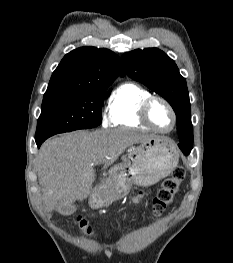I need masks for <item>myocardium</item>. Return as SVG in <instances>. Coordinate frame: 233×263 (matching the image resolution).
<instances>
[{
  "mask_svg": "<svg viewBox=\"0 0 233 263\" xmlns=\"http://www.w3.org/2000/svg\"><path fill=\"white\" fill-rule=\"evenodd\" d=\"M156 101H160L162 102L170 111L171 116H172V125L168 130H161L159 128H157L153 122L150 119V115H149V111L150 108L152 106V104ZM139 117L140 120L150 129H152L155 132L161 133V134H168L170 133L176 126L177 124V115L176 112L173 108V106L170 104V102L168 100H166L165 98L161 97V96H154L151 95L150 97H148L147 99H145L141 106H140V110H139Z\"/></svg>",
  "mask_w": 233,
  "mask_h": 263,
  "instance_id": "f54148a6",
  "label": "myocardium"
}]
</instances>
